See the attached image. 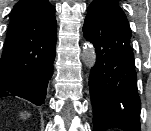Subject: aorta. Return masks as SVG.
<instances>
[{
  "instance_id": "obj_1",
  "label": "aorta",
  "mask_w": 151,
  "mask_h": 131,
  "mask_svg": "<svg viewBox=\"0 0 151 131\" xmlns=\"http://www.w3.org/2000/svg\"><path fill=\"white\" fill-rule=\"evenodd\" d=\"M82 60L87 68L91 69L96 63V51L92 46L86 45L82 52Z\"/></svg>"
}]
</instances>
